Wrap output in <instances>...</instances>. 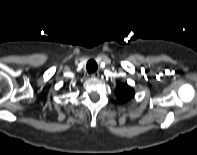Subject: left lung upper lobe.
<instances>
[{"mask_svg": "<svg viewBox=\"0 0 197 155\" xmlns=\"http://www.w3.org/2000/svg\"><path fill=\"white\" fill-rule=\"evenodd\" d=\"M115 94L120 102L125 103L134 96V90L127 84H118L115 90Z\"/></svg>", "mask_w": 197, "mask_h": 155, "instance_id": "left-lung-upper-lobe-1", "label": "left lung upper lobe"}]
</instances>
